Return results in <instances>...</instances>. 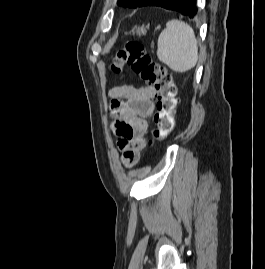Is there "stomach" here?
Here are the masks:
<instances>
[{
	"label": "stomach",
	"instance_id": "stomach-1",
	"mask_svg": "<svg viewBox=\"0 0 265 269\" xmlns=\"http://www.w3.org/2000/svg\"><path fill=\"white\" fill-rule=\"evenodd\" d=\"M147 29H148V27L142 25V26H139V27H135L132 32L134 34L136 33L137 35L140 36V35H145L147 33Z\"/></svg>",
	"mask_w": 265,
	"mask_h": 269
}]
</instances>
